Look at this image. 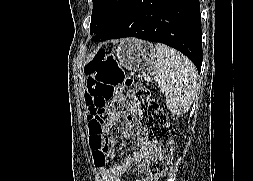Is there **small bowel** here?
<instances>
[{
  "mask_svg": "<svg viewBox=\"0 0 253 181\" xmlns=\"http://www.w3.org/2000/svg\"><path fill=\"white\" fill-rule=\"evenodd\" d=\"M127 102V112L124 116L123 136L134 139L140 146V151L133 152L126 156L122 163H110L112 148L116 141L104 140L103 134L109 133L112 127L116 125L121 117L122 112L116 107V104ZM108 118L104 122H100L90 111L88 115L89 126V145L93 153V162L98 172L99 181H121V176L133 164L138 163L136 171L143 174L141 178L135 181H147V171L149 163L158 155L157 146L149 139L141 135H132L131 127L134 123L132 111L135 108L134 92L117 91L115 96L110 100Z\"/></svg>",
  "mask_w": 253,
  "mask_h": 181,
  "instance_id": "c3829d8e",
  "label": "small bowel"
}]
</instances>
